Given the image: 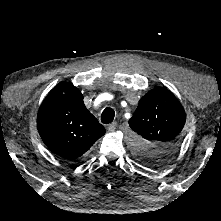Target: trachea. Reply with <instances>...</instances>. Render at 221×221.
I'll return each mask as SVG.
<instances>
[{
	"label": "trachea",
	"mask_w": 221,
	"mask_h": 221,
	"mask_svg": "<svg viewBox=\"0 0 221 221\" xmlns=\"http://www.w3.org/2000/svg\"><path fill=\"white\" fill-rule=\"evenodd\" d=\"M115 112L112 108H105L101 114V122L109 124L114 120Z\"/></svg>",
	"instance_id": "obj_1"
}]
</instances>
